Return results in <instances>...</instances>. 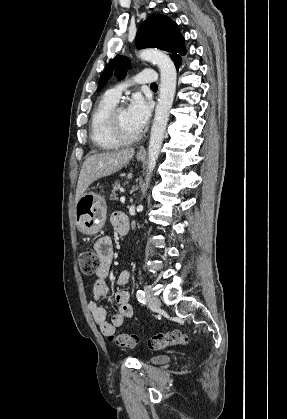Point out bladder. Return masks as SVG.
<instances>
[{
    "mask_svg": "<svg viewBox=\"0 0 287 419\" xmlns=\"http://www.w3.org/2000/svg\"><path fill=\"white\" fill-rule=\"evenodd\" d=\"M150 360L151 362L156 363V364H164L168 362L170 358L167 355H157V356L151 357Z\"/></svg>",
    "mask_w": 287,
    "mask_h": 419,
    "instance_id": "31cf9c89",
    "label": "bladder"
}]
</instances>
